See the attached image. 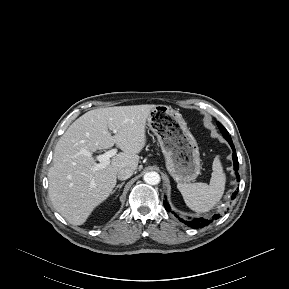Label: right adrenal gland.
<instances>
[{
  "label": "right adrenal gland",
  "instance_id": "2a0ac1e0",
  "mask_svg": "<svg viewBox=\"0 0 289 289\" xmlns=\"http://www.w3.org/2000/svg\"><path fill=\"white\" fill-rule=\"evenodd\" d=\"M125 184V182H122L121 184H118L116 187H115V189L111 192V194H113L117 189H119V191H120V189L122 188V186Z\"/></svg>",
  "mask_w": 289,
  "mask_h": 289
}]
</instances>
